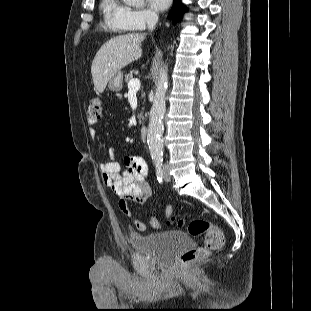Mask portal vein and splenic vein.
<instances>
[{"label":"portal vein and splenic vein","instance_id":"portal-vein-and-splenic-vein-1","mask_svg":"<svg viewBox=\"0 0 311 311\" xmlns=\"http://www.w3.org/2000/svg\"><path fill=\"white\" fill-rule=\"evenodd\" d=\"M140 86H141L140 80L137 78L130 80L128 83L129 90L137 91L140 89Z\"/></svg>","mask_w":311,"mask_h":311}]
</instances>
